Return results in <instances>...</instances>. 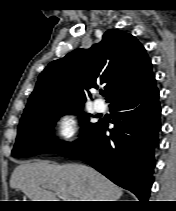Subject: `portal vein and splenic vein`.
Segmentation results:
<instances>
[{
  "instance_id": "18ae733b",
  "label": "portal vein and splenic vein",
  "mask_w": 176,
  "mask_h": 211,
  "mask_svg": "<svg viewBox=\"0 0 176 211\" xmlns=\"http://www.w3.org/2000/svg\"><path fill=\"white\" fill-rule=\"evenodd\" d=\"M58 194L59 196H61L64 201H78V199L73 198L72 196H70L69 194H67L65 191L62 190H56L55 194Z\"/></svg>"
}]
</instances>
